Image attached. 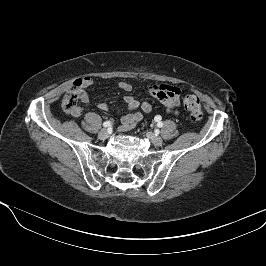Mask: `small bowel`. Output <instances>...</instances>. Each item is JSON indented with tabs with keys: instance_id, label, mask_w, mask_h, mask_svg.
Masks as SVG:
<instances>
[{
	"instance_id": "small-bowel-1",
	"label": "small bowel",
	"mask_w": 266,
	"mask_h": 266,
	"mask_svg": "<svg viewBox=\"0 0 266 266\" xmlns=\"http://www.w3.org/2000/svg\"><path fill=\"white\" fill-rule=\"evenodd\" d=\"M77 82L79 83V99L82 103L86 104L90 100L87 88L93 84V80L90 77H84L77 80ZM118 87L125 92H130L132 90V85L128 82H119ZM148 93L149 95L158 98L167 112L176 115L179 113L178 107L180 105L181 97L180 88L168 84L153 85L149 87ZM124 102L130 112L122 117L121 126L119 128L120 130H128L133 128L135 124L144 117L145 114L150 113L152 110L150 103L146 101L140 103L135 97L130 95L124 97ZM139 106L141 111H136ZM98 107L102 111H106L108 108L105 103H100ZM82 112L83 108L78 106V108L71 114L73 116H79L82 114Z\"/></svg>"
}]
</instances>
